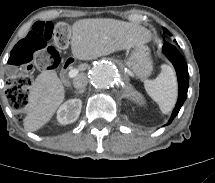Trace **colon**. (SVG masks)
<instances>
[{
  "mask_svg": "<svg viewBox=\"0 0 215 183\" xmlns=\"http://www.w3.org/2000/svg\"><path fill=\"white\" fill-rule=\"evenodd\" d=\"M69 34L68 26L64 23H36L29 34L19 43L17 49L8 58L7 74L10 77L6 96L16 111H22L28 104L31 78L26 72L34 67L49 70L60 64V55L50 44L66 42Z\"/></svg>",
  "mask_w": 215,
  "mask_h": 183,
  "instance_id": "1",
  "label": "colon"
}]
</instances>
